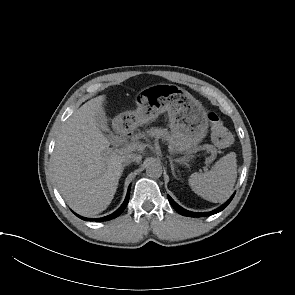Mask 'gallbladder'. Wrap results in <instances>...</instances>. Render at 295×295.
I'll return each instance as SVG.
<instances>
[{"instance_id": "1", "label": "gallbladder", "mask_w": 295, "mask_h": 295, "mask_svg": "<svg viewBox=\"0 0 295 295\" xmlns=\"http://www.w3.org/2000/svg\"><path fill=\"white\" fill-rule=\"evenodd\" d=\"M97 122L99 124V128L101 129L102 133L107 137L109 141H111L113 139L112 133L102 128V126H107V118L104 112L99 114Z\"/></svg>"}]
</instances>
